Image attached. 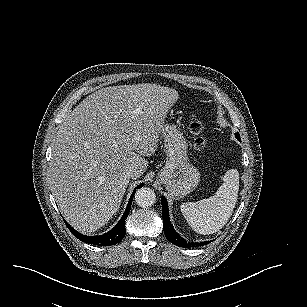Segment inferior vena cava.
<instances>
[{"instance_id": "1", "label": "inferior vena cava", "mask_w": 307, "mask_h": 307, "mask_svg": "<svg viewBox=\"0 0 307 307\" xmlns=\"http://www.w3.org/2000/svg\"><path fill=\"white\" fill-rule=\"evenodd\" d=\"M127 176H128V178H130V177L132 176V173H128V175H127Z\"/></svg>"}]
</instances>
